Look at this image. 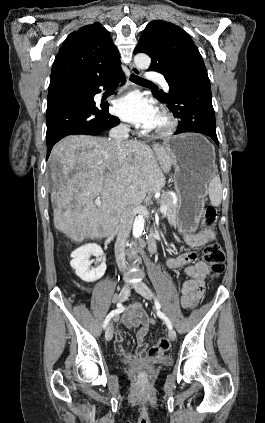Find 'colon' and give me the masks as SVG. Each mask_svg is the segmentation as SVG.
Listing matches in <instances>:
<instances>
[{
	"label": "colon",
	"mask_w": 265,
	"mask_h": 423,
	"mask_svg": "<svg viewBox=\"0 0 265 423\" xmlns=\"http://www.w3.org/2000/svg\"><path fill=\"white\" fill-rule=\"evenodd\" d=\"M216 223V211L207 208L203 216V224L213 227ZM203 260L209 266L212 277H219L225 270V253L219 243L211 242L204 247ZM170 349V342L166 337H160L149 347L148 356L151 359H163ZM141 377L144 374L141 373Z\"/></svg>",
	"instance_id": "1"
}]
</instances>
